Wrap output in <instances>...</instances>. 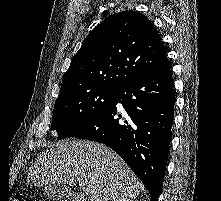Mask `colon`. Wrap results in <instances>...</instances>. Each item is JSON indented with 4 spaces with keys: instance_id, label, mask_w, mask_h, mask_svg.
Masks as SVG:
<instances>
[{
    "instance_id": "obj_1",
    "label": "colon",
    "mask_w": 221,
    "mask_h": 201,
    "mask_svg": "<svg viewBox=\"0 0 221 201\" xmlns=\"http://www.w3.org/2000/svg\"><path fill=\"white\" fill-rule=\"evenodd\" d=\"M12 201H27V200L23 195H18L14 197Z\"/></svg>"
}]
</instances>
